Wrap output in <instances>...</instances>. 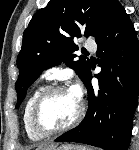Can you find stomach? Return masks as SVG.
Returning <instances> with one entry per match:
<instances>
[{"label":"stomach","mask_w":139,"mask_h":150,"mask_svg":"<svg viewBox=\"0 0 139 150\" xmlns=\"http://www.w3.org/2000/svg\"><path fill=\"white\" fill-rule=\"evenodd\" d=\"M51 150H91L87 147L84 146H78V145H73V144H64L60 146L59 148H53Z\"/></svg>","instance_id":"1"}]
</instances>
